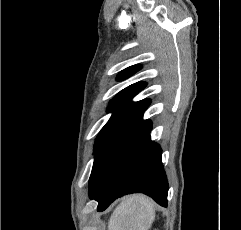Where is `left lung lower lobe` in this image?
<instances>
[{"instance_id":"0a47b994","label":"left lung lower lobe","mask_w":241,"mask_h":230,"mask_svg":"<svg viewBox=\"0 0 241 230\" xmlns=\"http://www.w3.org/2000/svg\"><path fill=\"white\" fill-rule=\"evenodd\" d=\"M143 113L105 142L95 154L89 196L98 211L125 194L142 192L167 206L168 182L161 162L162 150L150 140V120Z\"/></svg>"}]
</instances>
